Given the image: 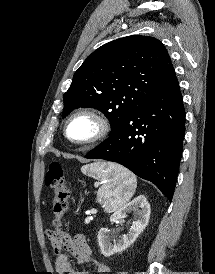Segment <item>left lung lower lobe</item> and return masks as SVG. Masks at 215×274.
I'll return each instance as SVG.
<instances>
[{
	"label": "left lung lower lobe",
	"mask_w": 215,
	"mask_h": 274,
	"mask_svg": "<svg viewBox=\"0 0 215 274\" xmlns=\"http://www.w3.org/2000/svg\"><path fill=\"white\" fill-rule=\"evenodd\" d=\"M185 134V109L176 76L134 108L118 128L86 154L119 163L154 183L172 200Z\"/></svg>",
	"instance_id": "1"
}]
</instances>
